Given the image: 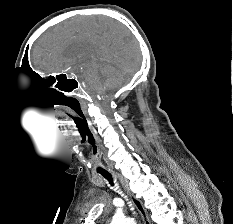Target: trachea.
Masks as SVG:
<instances>
[{"mask_svg": "<svg viewBox=\"0 0 233 224\" xmlns=\"http://www.w3.org/2000/svg\"><path fill=\"white\" fill-rule=\"evenodd\" d=\"M105 179H107L108 181H109V183H110V185L111 186H114V182H113V180H112V178H111V175H110V173H108V172H99Z\"/></svg>", "mask_w": 233, "mask_h": 224, "instance_id": "trachea-1", "label": "trachea"}]
</instances>
